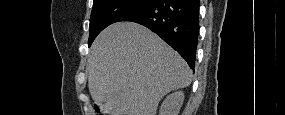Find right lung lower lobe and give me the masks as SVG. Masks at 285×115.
Returning a JSON list of instances; mask_svg holds the SVG:
<instances>
[{
	"label": "right lung lower lobe",
	"instance_id": "1",
	"mask_svg": "<svg viewBox=\"0 0 285 115\" xmlns=\"http://www.w3.org/2000/svg\"><path fill=\"white\" fill-rule=\"evenodd\" d=\"M199 0H150L118 21L144 25L175 49L194 70L199 36Z\"/></svg>",
	"mask_w": 285,
	"mask_h": 115
}]
</instances>
